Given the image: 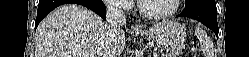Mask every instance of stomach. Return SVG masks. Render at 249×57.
<instances>
[{"label":"stomach","instance_id":"1","mask_svg":"<svg viewBox=\"0 0 249 57\" xmlns=\"http://www.w3.org/2000/svg\"><path fill=\"white\" fill-rule=\"evenodd\" d=\"M146 38L152 39L157 45L166 49L165 57H176L185 46L186 29L175 21H163L153 25L149 30L135 32ZM172 55V56H170Z\"/></svg>","mask_w":249,"mask_h":57}]
</instances>
